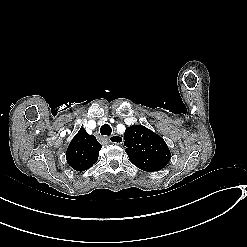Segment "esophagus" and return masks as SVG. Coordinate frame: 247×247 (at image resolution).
<instances>
[{
	"label": "esophagus",
	"mask_w": 247,
	"mask_h": 247,
	"mask_svg": "<svg viewBox=\"0 0 247 247\" xmlns=\"http://www.w3.org/2000/svg\"><path fill=\"white\" fill-rule=\"evenodd\" d=\"M109 141L114 144H122L123 143V137L120 135H112L109 137Z\"/></svg>",
	"instance_id": "1"
}]
</instances>
